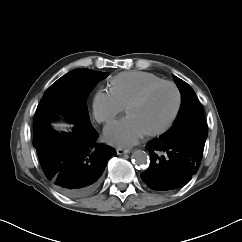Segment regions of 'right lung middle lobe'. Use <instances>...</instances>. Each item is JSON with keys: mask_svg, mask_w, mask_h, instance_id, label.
Returning a JSON list of instances; mask_svg holds the SVG:
<instances>
[{"mask_svg": "<svg viewBox=\"0 0 242 242\" xmlns=\"http://www.w3.org/2000/svg\"><path fill=\"white\" fill-rule=\"evenodd\" d=\"M107 73L75 69L53 83L44 93L35 113L34 130L64 116L72 123H90L86 97Z\"/></svg>", "mask_w": 242, "mask_h": 242, "instance_id": "obj_1", "label": "right lung middle lobe"}]
</instances>
